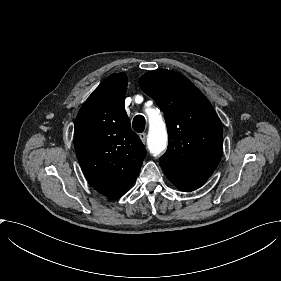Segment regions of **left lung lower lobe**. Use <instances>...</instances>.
<instances>
[{
  "label": "left lung lower lobe",
  "mask_w": 281,
  "mask_h": 281,
  "mask_svg": "<svg viewBox=\"0 0 281 281\" xmlns=\"http://www.w3.org/2000/svg\"><path fill=\"white\" fill-rule=\"evenodd\" d=\"M159 163L166 177L178 189L186 192L201 187L213 173V171L185 170L164 161Z\"/></svg>",
  "instance_id": "0a47b994"
}]
</instances>
